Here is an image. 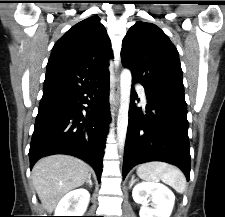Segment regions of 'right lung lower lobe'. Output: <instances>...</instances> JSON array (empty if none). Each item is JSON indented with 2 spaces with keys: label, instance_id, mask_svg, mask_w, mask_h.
I'll return each mask as SVG.
<instances>
[{
  "label": "right lung lower lobe",
  "instance_id": "98d812e1",
  "mask_svg": "<svg viewBox=\"0 0 225 217\" xmlns=\"http://www.w3.org/2000/svg\"><path fill=\"white\" fill-rule=\"evenodd\" d=\"M109 122V78L92 88L42 97L30 143V169L43 156L69 154L89 163L100 181Z\"/></svg>",
  "mask_w": 225,
  "mask_h": 217
}]
</instances>
